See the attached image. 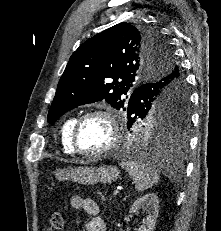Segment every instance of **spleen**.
I'll use <instances>...</instances> for the list:
<instances>
[{"instance_id":"3e777b00","label":"spleen","mask_w":221,"mask_h":231,"mask_svg":"<svg viewBox=\"0 0 221 231\" xmlns=\"http://www.w3.org/2000/svg\"><path fill=\"white\" fill-rule=\"evenodd\" d=\"M120 166L128 172L135 181V188L138 192H143L159 181V176L151 167L137 160H124Z\"/></svg>"}]
</instances>
